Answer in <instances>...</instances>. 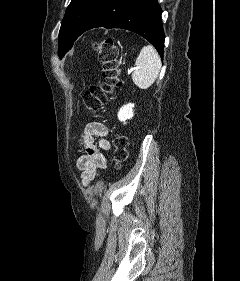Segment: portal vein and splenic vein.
Segmentation results:
<instances>
[{"instance_id": "18ae733b", "label": "portal vein and splenic vein", "mask_w": 240, "mask_h": 281, "mask_svg": "<svg viewBox=\"0 0 240 281\" xmlns=\"http://www.w3.org/2000/svg\"><path fill=\"white\" fill-rule=\"evenodd\" d=\"M136 70H137V68H132L128 71V74H130V73H132L133 71H136Z\"/></svg>"}]
</instances>
